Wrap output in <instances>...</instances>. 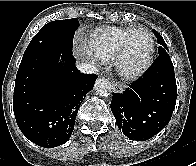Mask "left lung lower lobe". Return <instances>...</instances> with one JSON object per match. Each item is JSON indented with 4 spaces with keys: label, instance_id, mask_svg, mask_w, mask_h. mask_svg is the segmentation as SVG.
Masks as SVG:
<instances>
[{
    "label": "left lung lower lobe",
    "instance_id": "obj_1",
    "mask_svg": "<svg viewBox=\"0 0 196 166\" xmlns=\"http://www.w3.org/2000/svg\"><path fill=\"white\" fill-rule=\"evenodd\" d=\"M177 99L174 66L167 52L155 66L122 94H114L111 110L116 123L129 139L144 141L170 121Z\"/></svg>",
    "mask_w": 196,
    "mask_h": 166
}]
</instances>
